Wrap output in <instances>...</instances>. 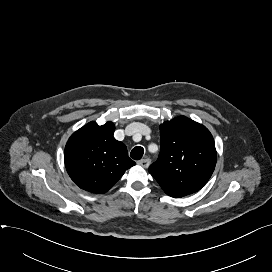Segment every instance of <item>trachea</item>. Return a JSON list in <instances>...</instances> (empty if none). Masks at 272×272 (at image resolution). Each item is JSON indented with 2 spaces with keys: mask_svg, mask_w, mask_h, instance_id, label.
Returning <instances> with one entry per match:
<instances>
[{
  "mask_svg": "<svg viewBox=\"0 0 272 272\" xmlns=\"http://www.w3.org/2000/svg\"><path fill=\"white\" fill-rule=\"evenodd\" d=\"M144 154V149L140 146H136L132 149L130 157L134 160H140Z\"/></svg>",
  "mask_w": 272,
  "mask_h": 272,
  "instance_id": "trachea-1",
  "label": "trachea"
}]
</instances>
